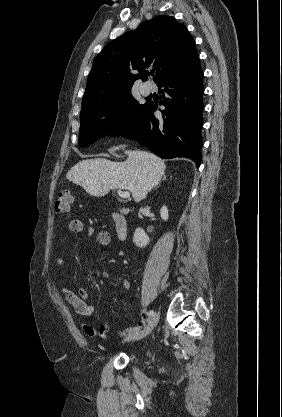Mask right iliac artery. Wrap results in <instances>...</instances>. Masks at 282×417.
Listing matches in <instances>:
<instances>
[{"label": "right iliac artery", "instance_id": "obj_1", "mask_svg": "<svg viewBox=\"0 0 282 417\" xmlns=\"http://www.w3.org/2000/svg\"><path fill=\"white\" fill-rule=\"evenodd\" d=\"M148 315H149L150 317H153V316L155 315V312H154L153 310H150V311L148 312Z\"/></svg>", "mask_w": 282, "mask_h": 417}]
</instances>
